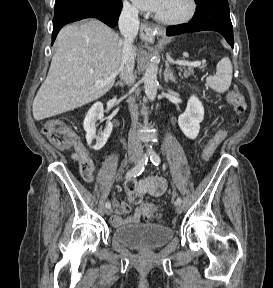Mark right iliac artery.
<instances>
[{"instance_id":"1","label":"right iliac artery","mask_w":273,"mask_h":288,"mask_svg":"<svg viewBox=\"0 0 273 288\" xmlns=\"http://www.w3.org/2000/svg\"><path fill=\"white\" fill-rule=\"evenodd\" d=\"M147 162H148V155L145 154L143 156V158L138 162V164L127 172L126 178H132V177L139 176L144 171V168H145V165L147 164ZM105 206H106V208H110L111 203L108 201V202H106Z\"/></svg>"}]
</instances>
